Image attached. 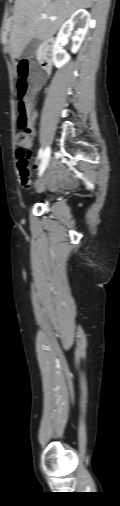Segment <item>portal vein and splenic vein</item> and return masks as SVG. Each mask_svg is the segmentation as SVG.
Listing matches in <instances>:
<instances>
[{
    "instance_id": "1",
    "label": "portal vein and splenic vein",
    "mask_w": 120,
    "mask_h": 506,
    "mask_svg": "<svg viewBox=\"0 0 120 506\" xmlns=\"http://www.w3.org/2000/svg\"><path fill=\"white\" fill-rule=\"evenodd\" d=\"M41 17H42L43 19H47V18H48V16H47V15H45V14H43ZM49 19H51V20H55L56 18H55V17H50Z\"/></svg>"
}]
</instances>
